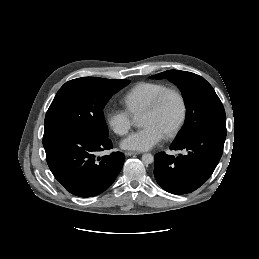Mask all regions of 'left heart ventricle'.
Returning <instances> with one entry per match:
<instances>
[{
    "mask_svg": "<svg viewBox=\"0 0 259 259\" xmlns=\"http://www.w3.org/2000/svg\"><path fill=\"white\" fill-rule=\"evenodd\" d=\"M179 113L180 105L177 98L169 95L158 112L143 114L141 124L142 126L153 125L165 134L175 126Z\"/></svg>",
    "mask_w": 259,
    "mask_h": 259,
    "instance_id": "obj_1",
    "label": "left heart ventricle"
}]
</instances>
